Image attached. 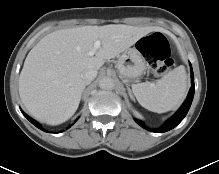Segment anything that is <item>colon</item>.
<instances>
[{"mask_svg":"<svg viewBox=\"0 0 219 174\" xmlns=\"http://www.w3.org/2000/svg\"><path fill=\"white\" fill-rule=\"evenodd\" d=\"M137 48L157 75L165 74L173 64L169 43L161 33L143 37L138 41Z\"/></svg>","mask_w":219,"mask_h":174,"instance_id":"1","label":"colon"}]
</instances>
